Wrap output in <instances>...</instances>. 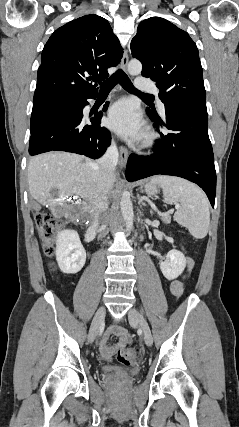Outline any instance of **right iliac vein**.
<instances>
[{"label": "right iliac vein", "mask_w": 239, "mask_h": 427, "mask_svg": "<svg viewBox=\"0 0 239 427\" xmlns=\"http://www.w3.org/2000/svg\"><path fill=\"white\" fill-rule=\"evenodd\" d=\"M105 315H106V309L104 306H101L97 310V312L93 318V321L91 323V326H90V330H89V334H88V341L90 343H92L95 340V338L99 332V329L104 322Z\"/></svg>", "instance_id": "obj_1"}]
</instances>
